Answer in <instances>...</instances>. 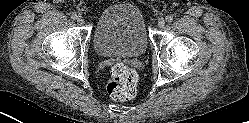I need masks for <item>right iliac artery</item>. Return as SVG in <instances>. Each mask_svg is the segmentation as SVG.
Segmentation results:
<instances>
[{
    "mask_svg": "<svg viewBox=\"0 0 249 123\" xmlns=\"http://www.w3.org/2000/svg\"><path fill=\"white\" fill-rule=\"evenodd\" d=\"M71 18H72L73 20H76V19L78 18V16H77L76 13H72V14H71Z\"/></svg>",
    "mask_w": 249,
    "mask_h": 123,
    "instance_id": "1",
    "label": "right iliac artery"
}]
</instances>
